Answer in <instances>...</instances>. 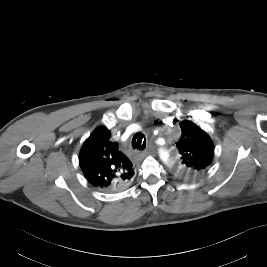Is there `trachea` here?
Returning a JSON list of instances; mask_svg holds the SVG:
<instances>
[{"label":"trachea","instance_id":"3493384b","mask_svg":"<svg viewBox=\"0 0 267 267\" xmlns=\"http://www.w3.org/2000/svg\"><path fill=\"white\" fill-rule=\"evenodd\" d=\"M132 147L140 151L144 150L146 148L145 136L140 133L135 134L132 139Z\"/></svg>","mask_w":267,"mask_h":267}]
</instances>
